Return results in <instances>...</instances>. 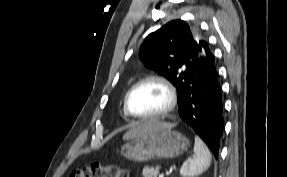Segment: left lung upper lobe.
Wrapping results in <instances>:
<instances>
[{"instance_id":"1","label":"left lung upper lobe","mask_w":287,"mask_h":177,"mask_svg":"<svg viewBox=\"0 0 287 177\" xmlns=\"http://www.w3.org/2000/svg\"><path fill=\"white\" fill-rule=\"evenodd\" d=\"M211 56L207 42L198 38L196 32L182 20H173L149 34L139 51L145 66L176 86L178 102L183 88Z\"/></svg>"}]
</instances>
